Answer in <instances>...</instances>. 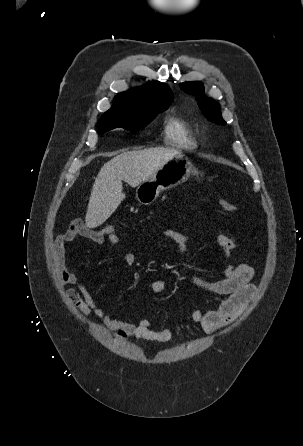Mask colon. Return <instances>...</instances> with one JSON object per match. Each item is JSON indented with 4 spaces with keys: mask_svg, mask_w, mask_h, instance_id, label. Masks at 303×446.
Segmentation results:
<instances>
[{
    "mask_svg": "<svg viewBox=\"0 0 303 446\" xmlns=\"http://www.w3.org/2000/svg\"><path fill=\"white\" fill-rule=\"evenodd\" d=\"M218 205L220 208L226 212H233L236 207L229 201L225 199H219ZM116 229L114 225H107L104 228L101 229V232L104 236H114L116 235Z\"/></svg>",
    "mask_w": 303,
    "mask_h": 446,
    "instance_id": "1",
    "label": "colon"
}]
</instances>
